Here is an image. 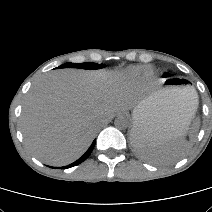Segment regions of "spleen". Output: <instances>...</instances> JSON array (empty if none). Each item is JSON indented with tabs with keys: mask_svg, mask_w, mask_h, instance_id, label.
Segmentation results:
<instances>
[{
	"mask_svg": "<svg viewBox=\"0 0 212 212\" xmlns=\"http://www.w3.org/2000/svg\"><path fill=\"white\" fill-rule=\"evenodd\" d=\"M174 99L181 104L187 114V123L193 117L198 106V95L194 87L186 86L182 89H176L173 92ZM135 130L142 131L140 134V142L142 147H151L152 152L150 157L146 158L144 155H140L142 158L156 163V164H168L175 162L182 158L184 154L189 150L191 144L183 135L168 139L162 135L155 134L147 128L146 122L143 118L135 119ZM198 126L195 124L193 130L189 136L191 141L196 137Z\"/></svg>",
	"mask_w": 212,
	"mask_h": 212,
	"instance_id": "3e777b00",
	"label": "spleen"
}]
</instances>
